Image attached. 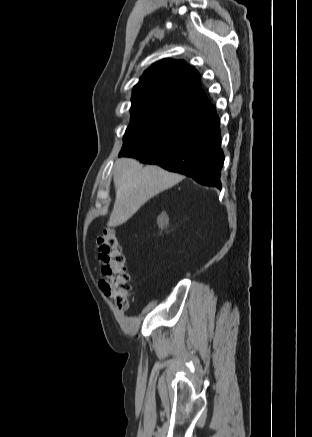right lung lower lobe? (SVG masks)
<instances>
[{
	"instance_id": "right-lung-lower-lobe-1",
	"label": "right lung lower lobe",
	"mask_w": 312,
	"mask_h": 437,
	"mask_svg": "<svg viewBox=\"0 0 312 437\" xmlns=\"http://www.w3.org/2000/svg\"><path fill=\"white\" fill-rule=\"evenodd\" d=\"M220 140L219 117L212 106L175 136L158 145L131 151L122 156L157 164L169 171L192 177L202 185L221 189L224 154Z\"/></svg>"
}]
</instances>
